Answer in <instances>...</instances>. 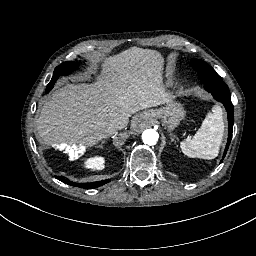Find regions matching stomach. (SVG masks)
Instances as JSON below:
<instances>
[{
  "instance_id": "0dacf381",
  "label": "stomach",
  "mask_w": 256,
  "mask_h": 256,
  "mask_svg": "<svg viewBox=\"0 0 256 256\" xmlns=\"http://www.w3.org/2000/svg\"><path fill=\"white\" fill-rule=\"evenodd\" d=\"M148 117H139L138 122L143 119H148L147 123L150 122H161L162 126L167 130H174L184 118L185 112L182 105L173 102L167 103L164 107L148 111Z\"/></svg>"
}]
</instances>
